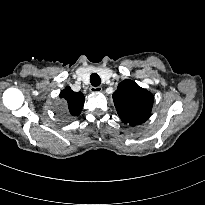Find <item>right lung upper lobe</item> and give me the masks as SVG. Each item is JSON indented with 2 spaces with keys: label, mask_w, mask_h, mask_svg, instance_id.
Returning a JSON list of instances; mask_svg holds the SVG:
<instances>
[{
  "label": "right lung upper lobe",
  "mask_w": 205,
  "mask_h": 205,
  "mask_svg": "<svg viewBox=\"0 0 205 205\" xmlns=\"http://www.w3.org/2000/svg\"><path fill=\"white\" fill-rule=\"evenodd\" d=\"M60 97L67 112L73 116H78L81 113L85 101V97L81 92H74L67 86L61 91Z\"/></svg>",
  "instance_id": "1"
}]
</instances>
